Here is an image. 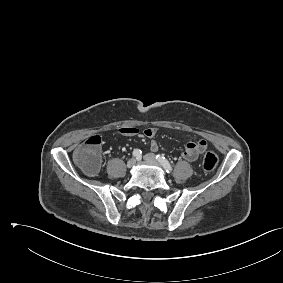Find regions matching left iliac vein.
Listing matches in <instances>:
<instances>
[{
    "instance_id": "left-iliac-vein-1",
    "label": "left iliac vein",
    "mask_w": 283,
    "mask_h": 283,
    "mask_svg": "<svg viewBox=\"0 0 283 283\" xmlns=\"http://www.w3.org/2000/svg\"><path fill=\"white\" fill-rule=\"evenodd\" d=\"M143 158L147 162H151V163H155V164L159 163L158 159L153 154H150V153L144 155Z\"/></svg>"
}]
</instances>
